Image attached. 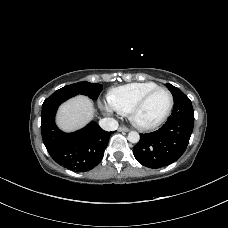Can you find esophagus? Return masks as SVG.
Wrapping results in <instances>:
<instances>
[{"instance_id": "esophagus-1", "label": "esophagus", "mask_w": 228, "mask_h": 228, "mask_svg": "<svg viewBox=\"0 0 228 228\" xmlns=\"http://www.w3.org/2000/svg\"><path fill=\"white\" fill-rule=\"evenodd\" d=\"M118 131H120V132H128L129 129L127 127H119Z\"/></svg>"}]
</instances>
